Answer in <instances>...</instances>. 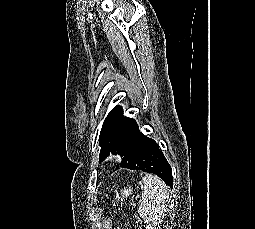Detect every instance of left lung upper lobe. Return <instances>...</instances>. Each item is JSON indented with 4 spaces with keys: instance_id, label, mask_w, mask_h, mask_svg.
Masks as SVG:
<instances>
[{
    "instance_id": "1",
    "label": "left lung upper lobe",
    "mask_w": 255,
    "mask_h": 229,
    "mask_svg": "<svg viewBox=\"0 0 255 229\" xmlns=\"http://www.w3.org/2000/svg\"><path fill=\"white\" fill-rule=\"evenodd\" d=\"M116 106L107 116L105 122L102 126L100 136H99V145L101 147L99 161L102 162L105 157L112 154L122 155L129 143L128 138L120 132L114 131L110 126V116L116 110Z\"/></svg>"
}]
</instances>
